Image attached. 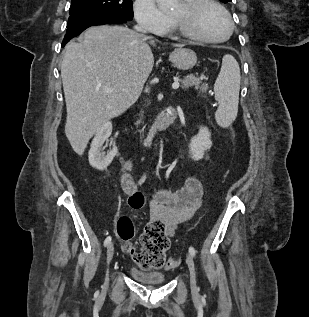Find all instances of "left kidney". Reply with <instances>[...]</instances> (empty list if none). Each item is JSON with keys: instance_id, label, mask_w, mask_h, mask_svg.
<instances>
[{"instance_id": "obj_1", "label": "left kidney", "mask_w": 309, "mask_h": 317, "mask_svg": "<svg viewBox=\"0 0 309 317\" xmlns=\"http://www.w3.org/2000/svg\"><path fill=\"white\" fill-rule=\"evenodd\" d=\"M212 146L211 132L207 127H200L196 136L191 139L189 144L190 158L198 161L203 158L205 151Z\"/></svg>"}]
</instances>
